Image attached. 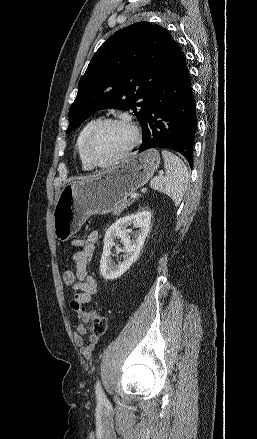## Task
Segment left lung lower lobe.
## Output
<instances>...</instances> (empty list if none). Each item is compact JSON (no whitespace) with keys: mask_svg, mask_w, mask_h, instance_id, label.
I'll return each mask as SVG.
<instances>
[{"mask_svg":"<svg viewBox=\"0 0 257 439\" xmlns=\"http://www.w3.org/2000/svg\"><path fill=\"white\" fill-rule=\"evenodd\" d=\"M141 126L140 151L155 147L171 149L181 153L192 167L197 129L196 104L189 70L179 46L169 70L153 94Z\"/></svg>","mask_w":257,"mask_h":439,"instance_id":"0a47b994","label":"left lung lower lobe"}]
</instances>
